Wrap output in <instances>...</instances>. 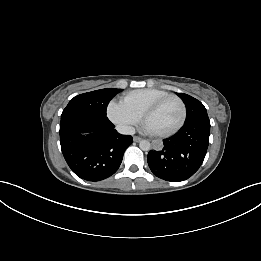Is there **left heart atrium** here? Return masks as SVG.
<instances>
[{
	"mask_svg": "<svg viewBox=\"0 0 261 261\" xmlns=\"http://www.w3.org/2000/svg\"><path fill=\"white\" fill-rule=\"evenodd\" d=\"M146 130L149 131V132H152L147 126H146Z\"/></svg>",
	"mask_w": 261,
	"mask_h": 261,
	"instance_id": "obj_1",
	"label": "left heart atrium"
}]
</instances>
